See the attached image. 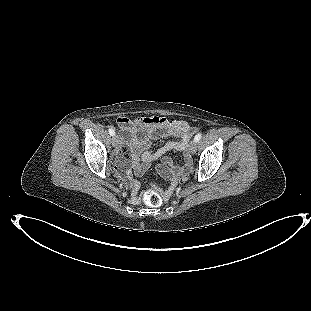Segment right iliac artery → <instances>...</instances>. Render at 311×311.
Masks as SVG:
<instances>
[{"mask_svg": "<svg viewBox=\"0 0 311 311\" xmlns=\"http://www.w3.org/2000/svg\"><path fill=\"white\" fill-rule=\"evenodd\" d=\"M109 134L111 135V136H114L115 135V130L111 127V128H109Z\"/></svg>", "mask_w": 311, "mask_h": 311, "instance_id": "obj_1", "label": "right iliac artery"}]
</instances>
